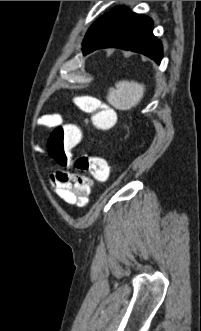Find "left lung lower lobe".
<instances>
[{
  "instance_id": "obj_1",
  "label": "left lung lower lobe",
  "mask_w": 201,
  "mask_h": 331,
  "mask_svg": "<svg viewBox=\"0 0 201 331\" xmlns=\"http://www.w3.org/2000/svg\"><path fill=\"white\" fill-rule=\"evenodd\" d=\"M153 22L144 15L118 7L107 13L84 39L83 54L93 50L117 47L142 53L157 64L162 59V45L153 35Z\"/></svg>"
}]
</instances>
